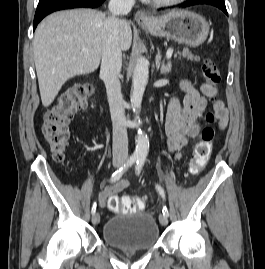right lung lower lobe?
I'll return each instance as SVG.
<instances>
[{
	"mask_svg": "<svg viewBox=\"0 0 265 269\" xmlns=\"http://www.w3.org/2000/svg\"><path fill=\"white\" fill-rule=\"evenodd\" d=\"M105 0H40L35 17L34 29L37 24L48 14L63 9L78 7L95 8L100 6Z\"/></svg>",
	"mask_w": 265,
	"mask_h": 269,
	"instance_id": "1",
	"label": "right lung lower lobe"
}]
</instances>
